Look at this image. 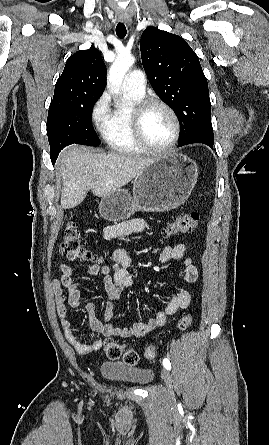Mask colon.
<instances>
[{
	"label": "colon",
	"mask_w": 269,
	"mask_h": 445,
	"mask_svg": "<svg viewBox=\"0 0 269 445\" xmlns=\"http://www.w3.org/2000/svg\"><path fill=\"white\" fill-rule=\"evenodd\" d=\"M199 221L200 215L196 212L180 215L163 229L162 234L166 238H171L192 232L197 228ZM60 252L69 261H99V259L82 244L78 231L72 223L68 224L64 230L60 243ZM191 324L192 316L190 314H184L179 319L178 327L180 330H187ZM104 351L109 359L117 360L122 357L123 361L129 366H135L139 361V355L136 351L125 349L112 338L105 339ZM156 354V348L153 346L147 347L144 351V356L148 360L154 359Z\"/></svg>",
	"instance_id": "1"
}]
</instances>
